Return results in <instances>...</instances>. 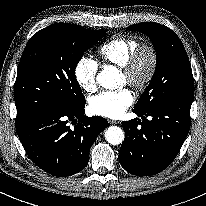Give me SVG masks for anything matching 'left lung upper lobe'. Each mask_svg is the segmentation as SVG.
<instances>
[{
    "label": "left lung upper lobe",
    "mask_w": 206,
    "mask_h": 206,
    "mask_svg": "<svg viewBox=\"0 0 206 206\" xmlns=\"http://www.w3.org/2000/svg\"><path fill=\"white\" fill-rule=\"evenodd\" d=\"M127 29L147 34L154 45L157 57L154 75L134 106V110H146L165 101H192L194 96L192 69L178 36L170 28L155 22L139 23Z\"/></svg>",
    "instance_id": "obj_1"
}]
</instances>
